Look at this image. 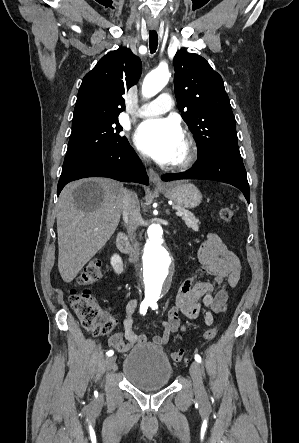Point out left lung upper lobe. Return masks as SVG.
Instances as JSON below:
<instances>
[{"label":"left lung upper lobe","mask_w":299,"mask_h":443,"mask_svg":"<svg viewBox=\"0 0 299 443\" xmlns=\"http://www.w3.org/2000/svg\"><path fill=\"white\" fill-rule=\"evenodd\" d=\"M174 68L178 108L198 143V158L213 152L241 156L222 77L203 57L184 50L176 53Z\"/></svg>","instance_id":"obj_1"}]
</instances>
